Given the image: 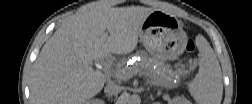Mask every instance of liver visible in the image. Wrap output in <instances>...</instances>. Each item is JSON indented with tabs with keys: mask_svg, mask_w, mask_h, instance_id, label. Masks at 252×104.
<instances>
[{
	"mask_svg": "<svg viewBox=\"0 0 252 104\" xmlns=\"http://www.w3.org/2000/svg\"><path fill=\"white\" fill-rule=\"evenodd\" d=\"M155 9L94 3L71 16L44 44L32 67L30 95L38 104H80L99 93L107 76L91 63L109 53L126 55Z\"/></svg>",
	"mask_w": 252,
	"mask_h": 104,
	"instance_id": "obj_1",
	"label": "liver"
}]
</instances>
